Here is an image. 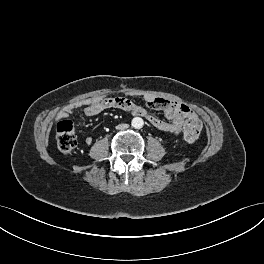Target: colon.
I'll list each match as a JSON object with an SVG mask.
<instances>
[{
	"mask_svg": "<svg viewBox=\"0 0 264 264\" xmlns=\"http://www.w3.org/2000/svg\"><path fill=\"white\" fill-rule=\"evenodd\" d=\"M183 136L185 140L193 142L199 137L202 124L199 119L190 117L183 123ZM57 145L61 152L69 154L77 145L73 121L69 118L61 119L56 125Z\"/></svg>",
	"mask_w": 264,
	"mask_h": 264,
	"instance_id": "obj_1",
	"label": "colon"
}]
</instances>
